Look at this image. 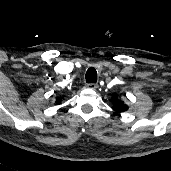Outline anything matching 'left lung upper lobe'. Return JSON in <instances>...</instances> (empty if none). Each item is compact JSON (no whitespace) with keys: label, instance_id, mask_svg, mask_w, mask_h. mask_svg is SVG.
<instances>
[{"label":"left lung upper lobe","instance_id":"5c2ea615","mask_svg":"<svg viewBox=\"0 0 171 171\" xmlns=\"http://www.w3.org/2000/svg\"><path fill=\"white\" fill-rule=\"evenodd\" d=\"M112 102H113V107L117 112L120 113L128 110V106L124 104V102L118 99V95L116 93L112 95Z\"/></svg>","mask_w":171,"mask_h":171}]
</instances>
